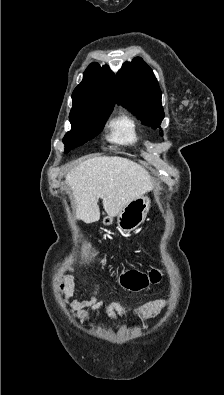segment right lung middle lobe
Segmentation results:
<instances>
[{"label": "right lung middle lobe", "instance_id": "right-lung-middle-lobe-1", "mask_svg": "<svg viewBox=\"0 0 224 395\" xmlns=\"http://www.w3.org/2000/svg\"><path fill=\"white\" fill-rule=\"evenodd\" d=\"M72 99L73 106L69 116L72 129L63 139L66 152L98 135L112 111V108L95 105L83 98Z\"/></svg>", "mask_w": 224, "mask_h": 395}]
</instances>
